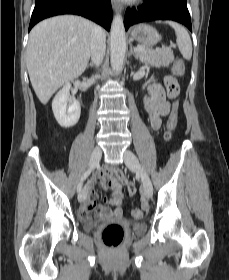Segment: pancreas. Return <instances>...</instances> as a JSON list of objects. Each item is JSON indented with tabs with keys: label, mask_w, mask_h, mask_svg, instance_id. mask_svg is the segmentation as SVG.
<instances>
[{
	"label": "pancreas",
	"mask_w": 229,
	"mask_h": 280,
	"mask_svg": "<svg viewBox=\"0 0 229 280\" xmlns=\"http://www.w3.org/2000/svg\"><path fill=\"white\" fill-rule=\"evenodd\" d=\"M135 55L142 63L155 67H166L174 61V55L171 49H144L143 52H136Z\"/></svg>",
	"instance_id": "cf45deb5"
}]
</instances>
